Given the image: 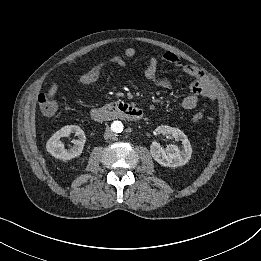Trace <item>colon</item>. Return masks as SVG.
<instances>
[{
    "instance_id": "colon-1",
    "label": "colon",
    "mask_w": 261,
    "mask_h": 261,
    "mask_svg": "<svg viewBox=\"0 0 261 261\" xmlns=\"http://www.w3.org/2000/svg\"><path fill=\"white\" fill-rule=\"evenodd\" d=\"M210 80L209 78L204 74H200L198 78L194 79L193 82L190 85V91L192 93H203L207 91L210 88ZM38 103L46 115H52L56 111V102L46 94H40L38 96ZM204 118L203 114L198 112L194 115V119L196 121H202Z\"/></svg>"
}]
</instances>
